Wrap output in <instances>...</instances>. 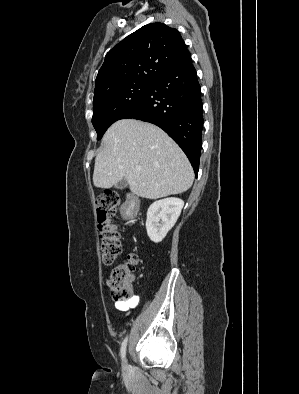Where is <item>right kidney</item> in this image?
I'll list each match as a JSON object with an SVG mask.
<instances>
[{
	"instance_id": "ca27d5eb",
	"label": "right kidney",
	"mask_w": 299,
	"mask_h": 394,
	"mask_svg": "<svg viewBox=\"0 0 299 394\" xmlns=\"http://www.w3.org/2000/svg\"><path fill=\"white\" fill-rule=\"evenodd\" d=\"M184 206L179 198H165L155 201L147 211L146 230L150 240L161 242L174 226Z\"/></svg>"
}]
</instances>
